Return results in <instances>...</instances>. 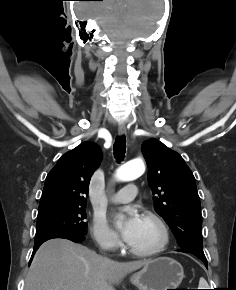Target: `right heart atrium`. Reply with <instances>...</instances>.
<instances>
[{
  "label": "right heart atrium",
  "instance_id": "1",
  "mask_svg": "<svg viewBox=\"0 0 236 290\" xmlns=\"http://www.w3.org/2000/svg\"><path fill=\"white\" fill-rule=\"evenodd\" d=\"M91 234L96 244L106 250H115L120 241L117 234L100 218H95L91 226Z\"/></svg>",
  "mask_w": 236,
  "mask_h": 290
}]
</instances>
